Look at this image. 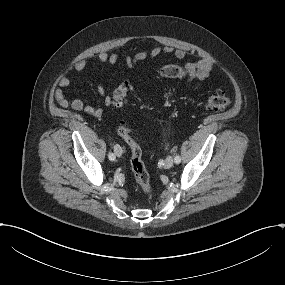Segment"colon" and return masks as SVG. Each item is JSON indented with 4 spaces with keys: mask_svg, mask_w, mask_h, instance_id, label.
<instances>
[{
    "mask_svg": "<svg viewBox=\"0 0 285 285\" xmlns=\"http://www.w3.org/2000/svg\"><path fill=\"white\" fill-rule=\"evenodd\" d=\"M160 75L165 78L181 79L186 77V71L177 65L169 64L160 69ZM130 91L131 84L128 81H121L111 96L112 105L115 107L123 106L127 101ZM231 102L232 99L227 93L224 91H217L207 97L202 103V106L208 110L222 111L228 108ZM118 132L131 149L130 165L136 182L145 194L150 195L153 192V188L150 182L149 173L142 160L141 149L138 143L126 125H120Z\"/></svg>",
    "mask_w": 285,
    "mask_h": 285,
    "instance_id": "5ec220e1",
    "label": "colon"
}]
</instances>
